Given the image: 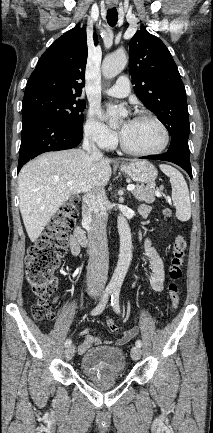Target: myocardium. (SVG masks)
<instances>
[{"instance_id":"f54148a6","label":"myocardium","mask_w":213,"mask_h":433,"mask_svg":"<svg viewBox=\"0 0 213 433\" xmlns=\"http://www.w3.org/2000/svg\"><path fill=\"white\" fill-rule=\"evenodd\" d=\"M133 119L134 120H148V121H151L152 123H154L161 130L162 142H161L160 146L154 150L137 151V150H134V149L130 148L129 146H127V144L122 139L121 135H119V145H120V148L122 149V151H124L127 154H130L133 156H139V157L154 156V155H158V154L162 153L166 149V147L168 146L169 140H170L169 131H168L167 127L165 126V124L159 118H157L155 115H153L151 113H147V112L137 113Z\"/></svg>"}]
</instances>
